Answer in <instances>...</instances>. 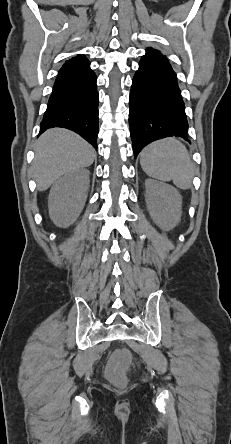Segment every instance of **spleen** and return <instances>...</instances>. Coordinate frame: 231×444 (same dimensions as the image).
<instances>
[{
	"mask_svg": "<svg viewBox=\"0 0 231 444\" xmlns=\"http://www.w3.org/2000/svg\"><path fill=\"white\" fill-rule=\"evenodd\" d=\"M144 172L160 181H173L176 187L191 188L194 167L185 147L176 138H164L147 145L141 152Z\"/></svg>",
	"mask_w": 231,
	"mask_h": 444,
	"instance_id": "3e777b00",
	"label": "spleen"
}]
</instances>
